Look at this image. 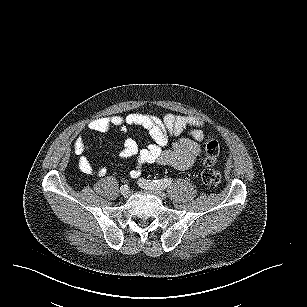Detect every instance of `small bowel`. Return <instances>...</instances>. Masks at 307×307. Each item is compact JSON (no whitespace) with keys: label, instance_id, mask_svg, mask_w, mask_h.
I'll list each match as a JSON object with an SVG mask.
<instances>
[{"label":"small bowel","instance_id":"obj_1","mask_svg":"<svg viewBox=\"0 0 307 307\" xmlns=\"http://www.w3.org/2000/svg\"><path fill=\"white\" fill-rule=\"evenodd\" d=\"M128 126H140L148 131L152 141L144 148H139L136 141L128 138L121 143L113 144L119 149L122 160H133L135 168L130 172L132 179L139 178L141 169L146 164H161L178 170H187L196 162L201 154V142L204 139V122L194 116L165 114L163 117L132 113L127 116H109L95 118L88 123V128L95 132H107L113 128L125 131ZM190 129L189 137H180L185 129ZM176 140L170 148H166L169 138ZM74 152L78 155L79 167L87 175L104 176L107 169L95 166L85 155L89 148L87 141L76 138Z\"/></svg>","mask_w":307,"mask_h":307}]
</instances>
